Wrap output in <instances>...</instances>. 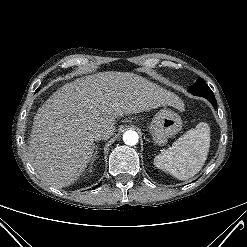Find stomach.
I'll return each mask as SVG.
<instances>
[{"label":"stomach","instance_id":"0dacf381","mask_svg":"<svg viewBox=\"0 0 247 247\" xmlns=\"http://www.w3.org/2000/svg\"><path fill=\"white\" fill-rule=\"evenodd\" d=\"M181 128V117L167 108L158 111L148 125V130L157 145H165L168 138L177 134Z\"/></svg>","mask_w":247,"mask_h":247}]
</instances>
